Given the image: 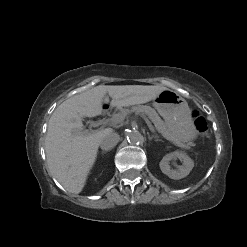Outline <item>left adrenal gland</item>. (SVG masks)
<instances>
[{"label": "left adrenal gland", "instance_id": "obj_1", "mask_svg": "<svg viewBox=\"0 0 247 247\" xmlns=\"http://www.w3.org/2000/svg\"><path fill=\"white\" fill-rule=\"evenodd\" d=\"M148 139L149 140H152V139H155L156 141H159L158 137L157 136H148Z\"/></svg>", "mask_w": 247, "mask_h": 247}]
</instances>
